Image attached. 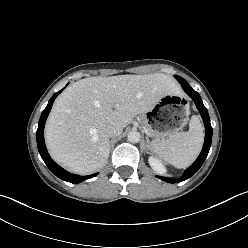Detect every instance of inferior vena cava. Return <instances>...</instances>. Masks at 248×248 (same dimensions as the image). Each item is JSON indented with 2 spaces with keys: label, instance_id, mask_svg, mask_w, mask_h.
Listing matches in <instances>:
<instances>
[{
  "label": "inferior vena cava",
  "instance_id": "1",
  "mask_svg": "<svg viewBox=\"0 0 248 248\" xmlns=\"http://www.w3.org/2000/svg\"><path fill=\"white\" fill-rule=\"evenodd\" d=\"M123 128L118 124H110L106 127V133L109 137L118 136L122 133Z\"/></svg>",
  "mask_w": 248,
  "mask_h": 248
}]
</instances>
